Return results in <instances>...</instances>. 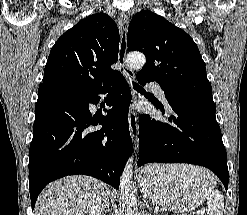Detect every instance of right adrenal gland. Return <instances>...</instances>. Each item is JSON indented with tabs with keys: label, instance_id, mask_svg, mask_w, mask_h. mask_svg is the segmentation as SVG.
<instances>
[{
	"label": "right adrenal gland",
	"instance_id": "2a0ac1e0",
	"mask_svg": "<svg viewBox=\"0 0 247 215\" xmlns=\"http://www.w3.org/2000/svg\"><path fill=\"white\" fill-rule=\"evenodd\" d=\"M109 212H110V202L108 200L103 215H107V213Z\"/></svg>",
	"mask_w": 247,
	"mask_h": 215
}]
</instances>
